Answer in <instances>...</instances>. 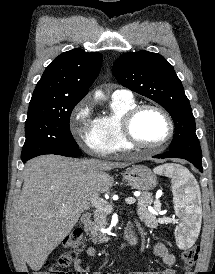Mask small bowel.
I'll list each match as a JSON object with an SVG mask.
<instances>
[{"mask_svg": "<svg viewBox=\"0 0 215 274\" xmlns=\"http://www.w3.org/2000/svg\"><path fill=\"white\" fill-rule=\"evenodd\" d=\"M154 253L156 256H158L165 266H167V269L162 272H146V271H136L131 272L129 274H175L174 265L176 263V258L174 254L170 253L167 247L164 243L161 241H158L154 245ZM86 254L89 257H95L96 256V249L92 246H89L86 249ZM82 260L76 259L74 262V267L72 274H88L89 273V267H82L81 265ZM92 274H110V273H103V272H93Z\"/></svg>", "mask_w": 215, "mask_h": 274, "instance_id": "small-bowel-1", "label": "small bowel"}]
</instances>
